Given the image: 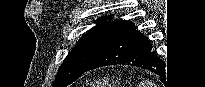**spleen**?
<instances>
[{"label": "spleen", "mask_w": 205, "mask_h": 87, "mask_svg": "<svg viewBox=\"0 0 205 87\" xmlns=\"http://www.w3.org/2000/svg\"><path fill=\"white\" fill-rule=\"evenodd\" d=\"M142 87H155L154 84H152L151 82H144L142 84Z\"/></svg>", "instance_id": "spleen-1"}]
</instances>
